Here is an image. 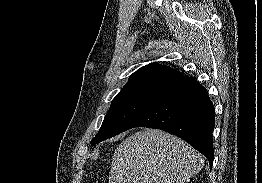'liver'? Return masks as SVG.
Here are the masks:
<instances>
[{"label":"liver","mask_w":262,"mask_h":183,"mask_svg":"<svg viewBox=\"0 0 262 183\" xmlns=\"http://www.w3.org/2000/svg\"><path fill=\"white\" fill-rule=\"evenodd\" d=\"M203 166L202 155L184 140L146 129L116 148L109 183H186Z\"/></svg>","instance_id":"1"}]
</instances>
